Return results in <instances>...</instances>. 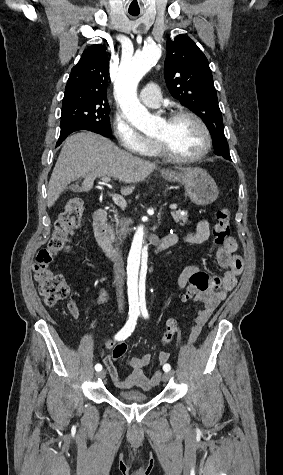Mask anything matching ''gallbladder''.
I'll list each match as a JSON object with an SVG mask.
<instances>
[{"label":"gallbladder","instance_id":"gallbladder-1","mask_svg":"<svg viewBox=\"0 0 283 475\" xmlns=\"http://www.w3.org/2000/svg\"><path fill=\"white\" fill-rule=\"evenodd\" d=\"M69 190H72V192H81L79 186H75V184H71Z\"/></svg>","mask_w":283,"mask_h":475}]
</instances>
